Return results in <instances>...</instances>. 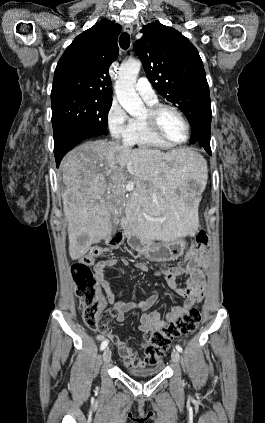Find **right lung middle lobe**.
Masks as SVG:
<instances>
[{
    "label": "right lung middle lobe",
    "mask_w": 265,
    "mask_h": 423,
    "mask_svg": "<svg viewBox=\"0 0 265 423\" xmlns=\"http://www.w3.org/2000/svg\"><path fill=\"white\" fill-rule=\"evenodd\" d=\"M111 105L112 100L79 95L52 98L53 130L65 125H77L96 131L101 135H107L108 112ZM57 157L58 155H55V159ZM62 158L63 155L59 157V159Z\"/></svg>",
    "instance_id": "obj_1"
}]
</instances>
